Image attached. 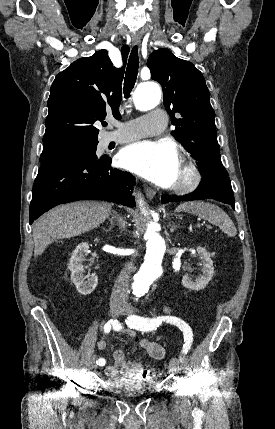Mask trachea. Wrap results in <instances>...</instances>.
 Here are the masks:
<instances>
[{
  "label": "trachea",
  "instance_id": "trachea-1",
  "mask_svg": "<svg viewBox=\"0 0 275 429\" xmlns=\"http://www.w3.org/2000/svg\"><path fill=\"white\" fill-rule=\"evenodd\" d=\"M139 68V57L137 46H134L127 65L125 80H124V95L125 98H129L130 93L135 85ZM104 126H107L105 124Z\"/></svg>",
  "mask_w": 275,
  "mask_h": 429
}]
</instances>
